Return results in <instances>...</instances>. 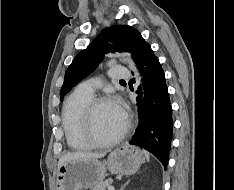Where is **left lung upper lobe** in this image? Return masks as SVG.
<instances>
[{
	"instance_id": "left-lung-upper-lobe-1",
	"label": "left lung upper lobe",
	"mask_w": 234,
	"mask_h": 190,
	"mask_svg": "<svg viewBox=\"0 0 234 190\" xmlns=\"http://www.w3.org/2000/svg\"><path fill=\"white\" fill-rule=\"evenodd\" d=\"M147 43L133 27L115 25L103 29L100 34L82 50L68 67L61 88V100L70 89L89 75L110 52H129L133 59Z\"/></svg>"
}]
</instances>
